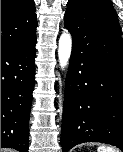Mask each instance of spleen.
I'll return each instance as SVG.
<instances>
[{
    "instance_id": "obj_1",
    "label": "spleen",
    "mask_w": 123,
    "mask_h": 152,
    "mask_svg": "<svg viewBox=\"0 0 123 152\" xmlns=\"http://www.w3.org/2000/svg\"><path fill=\"white\" fill-rule=\"evenodd\" d=\"M97 152H118L117 150H115L114 148L112 147H105V146H102V147H99Z\"/></svg>"
}]
</instances>
